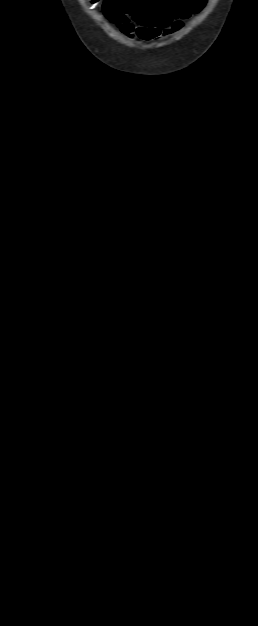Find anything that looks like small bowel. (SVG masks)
<instances>
[{"label":"small bowel","instance_id":"small-bowel-1","mask_svg":"<svg viewBox=\"0 0 258 626\" xmlns=\"http://www.w3.org/2000/svg\"><path fill=\"white\" fill-rule=\"evenodd\" d=\"M114 0H106L104 3V11L106 16L118 27L122 32L132 36L152 41L165 37L181 29L183 21L188 19L192 14L199 12L206 3V0H179L175 5L167 6L166 9L154 16L155 24L137 23L134 27L131 23L130 16L126 10L116 8Z\"/></svg>","mask_w":258,"mask_h":626}]
</instances>
